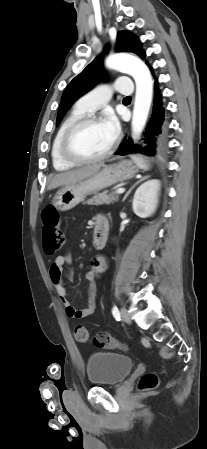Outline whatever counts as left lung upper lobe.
Wrapping results in <instances>:
<instances>
[{
    "mask_svg": "<svg viewBox=\"0 0 207 449\" xmlns=\"http://www.w3.org/2000/svg\"><path fill=\"white\" fill-rule=\"evenodd\" d=\"M115 48L117 52H132L137 54L141 58L145 57V53L141 48V42L129 31H119L117 33V42ZM101 66V59H95L69 83L61 99L56 122L57 125L60 123L63 116L71 107L73 102H75L80 96L91 90L100 80L102 76Z\"/></svg>",
    "mask_w": 207,
    "mask_h": 449,
    "instance_id": "5c2ea615",
    "label": "left lung upper lobe"
}]
</instances>
